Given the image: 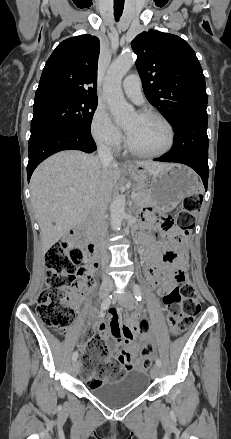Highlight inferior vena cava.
Returning a JSON list of instances; mask_svg holds the SVG:
<instances>
[{
    "label": "inferior vena cava",
    "mask_w": 231,
    "mask_h": 439,
    "mask_svg": "<svg viewBox=\"0 0 231 439\" xmlns=\"http://www.w3.org/2000/svg\"><path fill=\"white\" fill-rule=\"evenodd\" d=\"M98 157L103 165H109L114 162L113 155L110 147L100 144L98 146ZM109 202V195L106 190L102 189L94 202L91 215L94 221V226L97 231V235L102 243L104 240V235L106 232V208ZM100 256L103 262H107L109 260V255L107 250L101 246ZM106 278V277H105Z\"/></svg>",
    "instance_id": "1"
}]
</instances>
